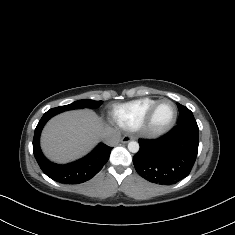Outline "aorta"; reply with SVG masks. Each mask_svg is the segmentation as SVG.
Segmentation results:
<instances>
[{
	"instance_id": "aorta-1",
	"label": "aorta",
	"mask_w": 235,
	"mask_h": 235,
	"mask_svg": "<svg viewBox=\"0 0 235 235\" xmlns=\"http://www.w3.org/2000/svg\"><path fill=\"white\" fill-rule=\"evenodd\" d=\"M139 144L136 141H130L128 143V150L132 153H137L139 151Z\"/></svg>"
}]
</instances>
